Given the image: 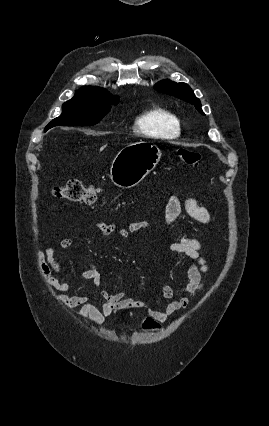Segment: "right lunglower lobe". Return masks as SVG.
<instances>
[{
    "instance_id": "obj_1",
    "label": "right lung lower lobe",
    "mask_w": 269,
    "mask_h": 426,
    "mask_svg": "<svg viewBox=\"0 0 269 426\" xmlns=\"http://www.w3.org/2000/svg\"><path fill=\"white\" fill-rule=\"evenodd\" d=\"M50 128H52V127L47 126V127L45 128V131H47V130H48V129H50Z\"/></svg>"
}]
</instances>
